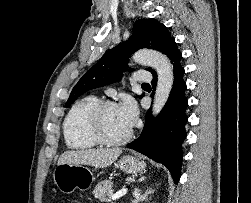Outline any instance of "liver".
Segmentation results:
<instances>
[{"label":"liver","mask_w":251,"mask_h":203,"mask_svg":"<svg viewBox=\"0 0 251 203\" xmlns=\"http://www.w3.org/2000/svg\"><path fill=\"white\" fill-rule=\"evenodd\" d=\"M121 153L120 148L68 150L60 156L58 165L72 163L105 168L117 160Z\"/></svg>","instance_id":"1"}]
</instances>
